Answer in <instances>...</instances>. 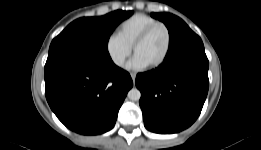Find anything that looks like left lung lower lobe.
Instances as JSON below:
<instances>
[{"label":"left lung lower lobe","mask_w":261,"mask_h":150,"mask_svg":"<svg viewBox=\"0 0 261 150\" xmlns=\"http://www.w3.org/2000/svg\"><path fill=\"white\" fill-rule=\"evenodd\" d=\"M208 66L203 42L190 30L170 45L158 68L136 76L149 131L177 133L194 123L208 93Z\"/></svg>","instance_id":"0a47b994"}]
</instances>
